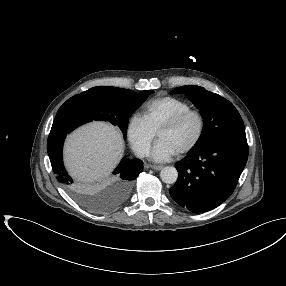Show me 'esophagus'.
<instances>
[{"label": "esophagus", "instance_id": "obj_1", "mask_svg": "<svg viewBox=\"0 0 286 286\" xmlns=\"http://www.w3.org/2000/svg\"><path fill=\"white\" fill-rule=\"evenodd\" d=\"M149 167L153 170H161L163 168L161 165H150Z\"/></svg>", "mask_w": 286, "mask_h": 286}]
</instances>
